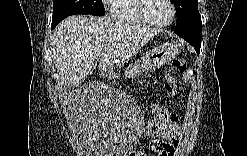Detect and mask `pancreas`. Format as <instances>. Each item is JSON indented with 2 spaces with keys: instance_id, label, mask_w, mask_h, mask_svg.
<instances>
[{
  "instance_id": "obj_1",
  "label": "pancreas",
  "mask_w": 247,
  "mask_h": 156,
  "mask_svg": "<svg viewBox=\"0 0 247 156\" xmlns=\"http://www.w3.org/2000/svg\"><path fill=\"white\" fill-rule=\"evenodd\" d=\"M143 70H144V69H140V68H138V69L136 70V72H135L134 76L139 75V74H140Z\"/></svg>"
}]
</instances>
